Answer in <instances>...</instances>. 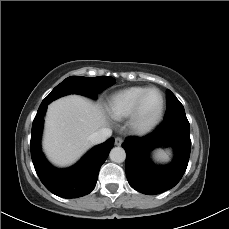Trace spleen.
Here are the masks:
<instances>
[{
  "label": "spleen",
  "instance_id": "spleen-1",
  "mask_svg": "<svg viewBox=\"0 0 229 229\" xmlns=\"http://www.w3.org/2000/svg\"><path fill=\"white\" fill-rule=\"evenodd\" d=\"M171 157V150L158 149L153 153V158L157 162H168Z\"/></svg>",
  "mask_w": 229,
  "mask_h": 229
}]
</instances>
